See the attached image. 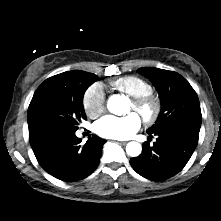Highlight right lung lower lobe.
I'll use <instances>...</instances> for the list:
<instances>
[{"label":"right lung lower lobe","mask_w":221,"mask_h":221,"mask_svg":"<svg viewBox=\"0 0 221 221\" xmlns=\"http://www.w3.org/2000/svg\"><path fill=\"white\" fill-rule=\"evenodd\" d=\"M76 131L59 130L37 137L31 144L40 166L55 178L73 182L86 178L98 166L106 140L92 134L85 145Z\"/></svg>","instance_id":"obj_1"}]
</instances>
